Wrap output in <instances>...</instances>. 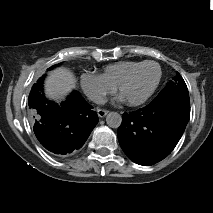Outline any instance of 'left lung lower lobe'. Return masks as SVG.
Instances as JSON below:
<instances>
[{"label": "left lung lower lobe", "instance_id": "obj_1", "mask_svg": "<svg viewBox=\"0 0 213 213\" xmlns=\"http://www.w3.org/2000/svg\"><path fill=\"white\" fill-rule=\"evenodd\" d=\"M189 117L188 92L168 90L146 107L122 115L117 130L120 146L133 162L155 164L174 149Z\"/></svg>", "mask_w": 213, "mask_h": 213}]
</instances>
